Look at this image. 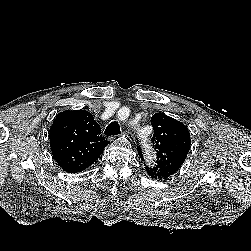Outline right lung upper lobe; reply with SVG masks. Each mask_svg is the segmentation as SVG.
Wrapping results in <instances>:
<instances>
[{
    "label": "right lung upper lobe",
    "instance_id": "cb5924a9",
    "mask_svg": "<svg viewBox=\"0 0 251 251\" xmlns=\"http://www.w3.org/2000/svg\"><path fill=\"white\" fill-rule=\"evenodd\" d=\"M49 132L53 158L68 173L87 169L109 143L92 114L86 110L59 113Z\"/></svg>",
    "mask_w": 251,
    "mask_h": 251
}]
</instances>
